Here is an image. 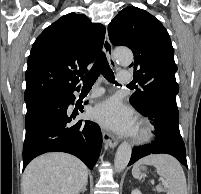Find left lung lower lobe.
Listing matches in <instances>:
<instances>
[{
    "label": "left lung lower lobe",
    "instance_id": "1",
    "mask_svg": "<svg viewBox=\"0 0 201 194\" xmlns=\"http://www.w3.org/2000/svg\"><path fill=\"white\" fill-rule=\"evenodd\" d=\"M138 111L151 120L156 139L150 145L135 147L128 165H132L149 154L165 153L174 156L187 167L185 145L179 131V114L176 102L157 99L145 109Z\"/></svg>",
    "mask_w": 201,
    "mask_h": 194
}]
</instances>
